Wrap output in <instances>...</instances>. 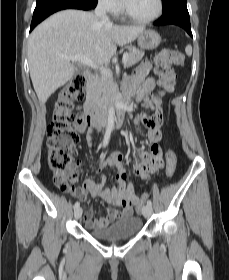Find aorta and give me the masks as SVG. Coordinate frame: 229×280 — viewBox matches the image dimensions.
Returning a JSON list of instances; mask_svg holds the SVG:
<instances>
[{"instance_id": "1", "label": "aorta", "mask_w": 229, "mask_h": 280, "mask_svg": "<svg viewBox=\"0 0 229 280\" xmlns=\"http://www.w3.org/2000/svg\"><path fill=\"white\" fill-rule=\"evenodd\" d=\"M114 122H115V111L113 106H111L108 110V122H107V128L109 130L114 129Z\"/></svg>"}]
</instances>
